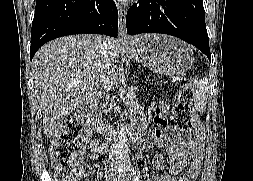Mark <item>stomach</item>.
Segmentation results:
<instances>
[{"mask_svg": "<svg viewBox=\"0 0 253 181\" xmlns=\"http://www.w3.org/2000/svg\"><path fill=\"white\" fill-rule=\"evenodd\" d=\"M128 53L143 66L161 75L186 72L193 64L190 47L178 38L162 34H144L125 44Z\"/></svg>", "mask_w": 253, "mask_h": 181, "instance_id": "stomach-1", "label": "stomach"}]
</instances>
